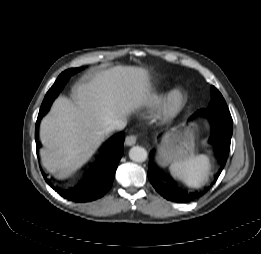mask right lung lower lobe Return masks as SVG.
Segmentation results:
<instances>
[{
    "instance_id": "obj_1",
    "label": "right lung lower lobe",
    "mask_w": 261,
    "mask_h": 254,
    "mask_svg": "<svg viewBox=\"0 0 261 254\" xmlns=\"http://www.w3.org/2000/svg\"><path fill=\"white\" fill-rule=\"evenodd\" d=\"M71 75L72 74L68 73L65 77H63L61 84L64 83L66 77L69 76L70 78ZM58 94L59 92L46 95L42 102L35 128V140L37 150L40 147V143L38 140V127L40 120L46 114L50 104L57 97ZM124 139L125 135L123 133H118L111 137L106 143L104 149L100 153L96 163L91 168V170L87 173L83 180L72 189L63 190L58 187H54L41 169L42 174L46 182L58 194L68 200L75 202H86L100 198L112 186L118 163L123 155Z\"/></svg>"
}]
</instances>
